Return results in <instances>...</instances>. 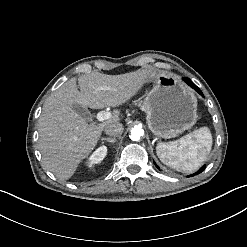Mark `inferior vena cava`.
Instances as JSON below:
<instances>
[{"label":"inferior vena cava","instance_id":"1","mask_svg":"<svg viewBox=\"0 0 247 247\" xmlns=\"http://www.w3.org/2000/svg\"><path fill=\"white\" fill-rule=\"evenodd\" d=\"M124 131L123 124L120 122H114L105 127V133L109 136L117 137Z\"/></svg>","mask_w":247,"mask_h":247}]
</instances>
